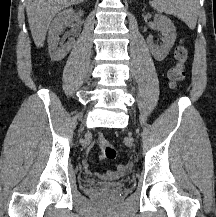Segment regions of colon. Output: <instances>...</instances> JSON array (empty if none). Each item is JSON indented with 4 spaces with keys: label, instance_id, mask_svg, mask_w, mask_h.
Returning a JSON list of instances; mask_svg holds the SVG:
<instances>
[{
    "label": "colon",
    "instance_id": "obj_1",
    "mask_svg": "<svg viewBox=\"0 0 216 217\" xmlns=\"http://www.w3.org/2000/svg\"><path fill=\"white\" fill-rule=\"evenodd\" d=\"M176 64L170 69L168 73L170 86L175 89L185 78V63L188 58V50L183 41H180L175 47ZM98 143L101 148V159L113 160L117 155V151L112 142L104 135H100Z\"/></svg>",
    "mask_w": 216,
    "mask_h": 217
}]
</instances>
